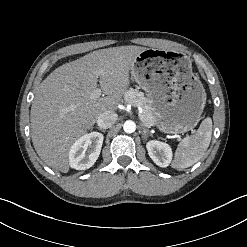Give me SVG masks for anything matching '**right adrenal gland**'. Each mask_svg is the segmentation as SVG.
<instances>
[{
  "label": "right adrenal gland",
  "mask_w": 247,
  "mask_h": 247,
  "mask_svg": "<svg viewBox=\"0 0 247 247\" xmlns=\"http://www.w3.org/2000/svg\"><path fill=\"white\" fill-rule=\"evenodd\" d=\"M98 130H100L101 132L105 133V129L103 128H97Z\"/></svg>",
  "instance_id": "right-adrenal-gland-1"
}]
</instances>
